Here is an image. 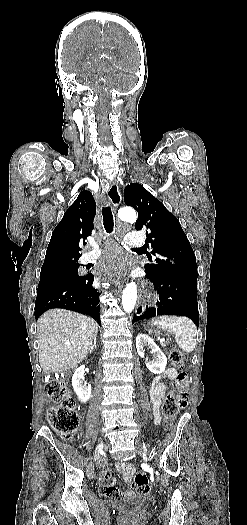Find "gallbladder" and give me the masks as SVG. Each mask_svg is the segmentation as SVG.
Segmentation results:
<instances>
[{"mask_svg": "<svg viewBox=\"0 0 247 525\" xmlns=\"http://www.w3.org/2000/svg\"><path fill=\"white\" fill-rule=\"evenodd\" d=\"M65 372H68V369H65Z\"/></svg>", "mask_w": 247, "mask_h": 525, "instance_id": "gallbladder-1", "label": "gallbladder"}]
</instances>
